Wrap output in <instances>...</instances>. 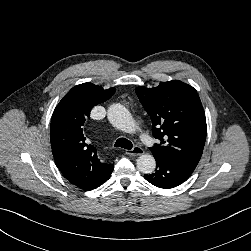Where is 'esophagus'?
Here are the masks:
<instances>
[{
	"mask_svg": "<svg viewBox=\"0 0 251 251\" xmlns=\"http://www.w3.org/2000/svg\"><path fill=\"white\" fill-rule=\"evenodd\" d=\"M126 154L131 156H140L144 154V150L139 146H135L130 150H126Z\"/></svg>",
	"mask_w": 251,
	"mask_h": 251,
	"instance_id": "1",
	"label": "esophagus"
}]
</instances>
